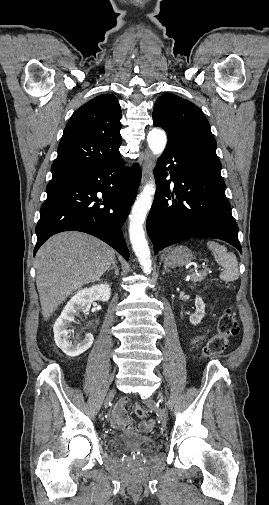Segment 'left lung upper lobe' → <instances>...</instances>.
<instances>
[{
  "label": "left lung upper lobe",
  "instance_id": "left-lung-upper-lobe-1",
  "mask_svg": "<svg viewBox=\"0 0 269 505\" xmlns=\"http://www.w3.org/2000/svg\"><path fill=\"white\" fill-rule=\"evenodd\" d=\"M153 124L162 127L168 136H180L216 152V141L203 112L177 95L165 93L157 99Z\"/></svg>",
  "mask_w": 269,
  "mask_h": 505
}]
</instances>
